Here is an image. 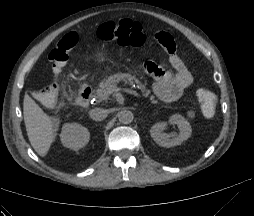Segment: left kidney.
<instances>
[{
    "mask_svg": "<svg viewBox=\"0 0 254 216\" xmlns=\"http://www.w3.org/2000/svg\"><path fill=\"white\" fill-rule=\"evenodd\" d=\"M170 124H175L179 128L177 135L166 134L164 130L167 127V122H159L154 124L150 129L151 137L154 141L163 147H173L180 145L183 141L187 140L192 134V128L190 123L181 115L174 114L169 118Z\"/></svg>",
    "mask_w": 254,
    "mask_h": 216,
    "instance_id": "obj_1",
    "label": "left kidney"
}]
</instances>
